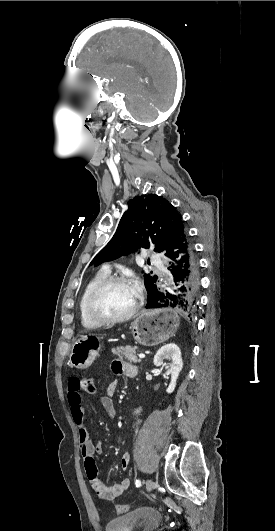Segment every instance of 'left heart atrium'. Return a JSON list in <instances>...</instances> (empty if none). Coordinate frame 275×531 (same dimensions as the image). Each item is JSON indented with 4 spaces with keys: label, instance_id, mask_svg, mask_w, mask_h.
<instances>
[{
    "label": "left heart atrium",
    "instance_id": "left-heart-atrium-1",
    "mask_svg": "<svg viewBox=\"0 0 275 531\" xmlns=\"http://www.w3.org/2000/svg\"><path fill=\"white\" fill-rule=\"evenodd\" d=\"M132 285H133L134 288H137V287H138V283H137L136 281H133V282H132Z\"/></svg>",
    "mask_w": 275,
    "mask_h": 531
}]
</instances>
